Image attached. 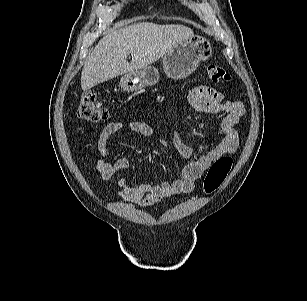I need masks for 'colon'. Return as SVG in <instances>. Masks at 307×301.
Instances as JSON below:
<instances>
[{
	"label": "colon",
	"instance_id": "colon-1",
	"mask_svg": "<svg viewBox=\"0 0 307 301\" xmlns=\"http://www.w3.org/2000/svg\"><path fill=\"white\" fill-rule=\"evenodd\" d=\"M208 75L209 79L214 83H224L230 80L227 70L219 65H210ZM78 112L82 120L91 123L103 122L109 117L108 109L97 101L96 93L91 91L82 94ZM232 163V158L228 156H222L212 163L206 173L203 184L204 191L207 194L213 193L220 187L230 172Z\"/></svg>",
	"mask_w": 307,
	"mask_h": 301
}]
</instances>
